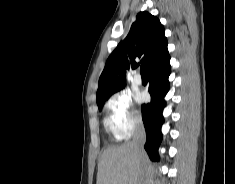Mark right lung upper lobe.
<instances>
[{
  "mask_svg": "<svg viewBox=\"0 0 235 184\" xmlns=\"http://www.w3.org/2000/svg\"><path fill=\"white\" fill-rule=\"evenodd\" d=\"M169 55L164 27L147 11L140 12L127 37L108 57L99 78L97 105H104L113 91L126 84V69L145 64L146 71Z\"/></svg>",
  "mask_w": 235,
  "mask_h": 184,
  "instance_id": "right-lung-upper-lobe-1",
  "label": "right lung upper lobe"
}]
</instances>
